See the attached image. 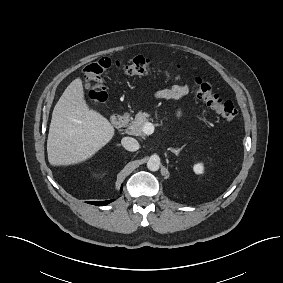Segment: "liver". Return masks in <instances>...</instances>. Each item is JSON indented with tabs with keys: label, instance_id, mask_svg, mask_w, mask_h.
<instances>
[{
	"label": "liver",
	"instance_id": "obj_1",
	"mask_svg": "<svg viewBox=\"0 0 283 283\" xmlns=\"http://www.w3.org/2000/svg\"><path fill=\"white\" fill-rule=\"evenodd\" d=\"M115 129L99 112L89 108L81 78L73 80L54 107L47 140L52 166L82 163L114 136Z\"/></svg>",
	"mask_w": 283,
	"mask_h": 283
}]
</instances>
